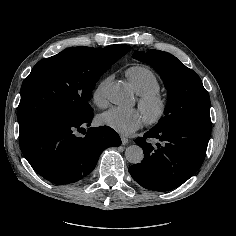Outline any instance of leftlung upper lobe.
Returning <instances> with one entry per match:
<instances>
[{"label": "left lung upper lobe", "instance_id": "left-lung-upper-lobe-1", "mask_svg": "<svg viewBox=\"0 0 236 236\" xmlns=\"http://www.w3.org/2000/svg\"><path fill=\"white\" fill-rule=\"evenodd\" d=\"M133 58L150 64L163 79L168 90L165 116L153 127L195 125L211 128L210 97L200 77L175 56L159 51H138Z\"/></svg>", "mask_w": 236, "mask_h": 236}]
</instances>
